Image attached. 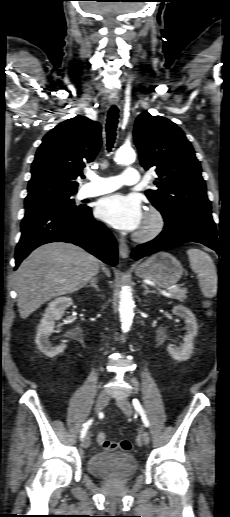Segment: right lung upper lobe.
I'll return each instance as SVG.
<instances>
[{
  "mask_svg": "<svg viewBox=\"0 0 230 517\" xmlns=\"http://www.w3.org/2000/svg\"><path fill=\"white\" fill-rule=\"evenodd\" d=\"M100 147L98 122L76 116L57 125L44 136L36 152L25 202L76 193V178Z\"/></svg>",
  "mask_w": 230,
  "mask_h": 517,
  "instance_id": "right-lung-upper-lobe-1",
  "label": "right lung upper lobe"
}]
</instances>
